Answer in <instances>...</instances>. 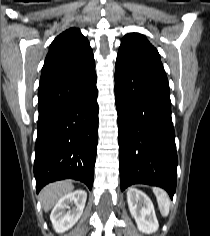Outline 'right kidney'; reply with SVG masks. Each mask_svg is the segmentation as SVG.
I'll list each match as a JSON object with an SVG mask.
<instances>
[{"instance_id":"right-kidney-1","label":"right kidney","mask_w":210,"mask_h":236,"mask_svg":"<svg viewBox=\"0 0 210 236\" xmlns=\"http://www.w3.org/2000/svg\"><path fill=\"white\" fill-rule=\"evenodd\" d=\"M87 193L76 190L62 197L51 212L50 220L56 232L62 233L73 227L83 213Z\"/></svg>"}]
</instances>
